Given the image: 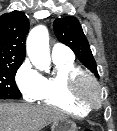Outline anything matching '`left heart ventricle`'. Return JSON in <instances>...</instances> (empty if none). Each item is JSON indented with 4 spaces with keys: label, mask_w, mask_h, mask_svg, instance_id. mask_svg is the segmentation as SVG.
<instances>
[{
    "label": "left heart ventricle",
    "mask_w": 117,
    "mask_h": 131,
    "mask_svg": "<svg viewBox=\"0 0 117 131\" xmlns=\"http://www.w3.org/2000/svg\"><path fill=\"white\" fill-rule=\"evenodd\" d=\"M88 90L91 91V88L89 87Z\"/></svg>",
    "instance_id": "left-heart-ventricle-1"
}]
</instances>
